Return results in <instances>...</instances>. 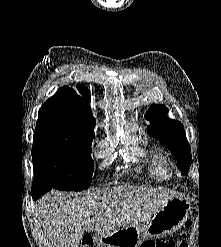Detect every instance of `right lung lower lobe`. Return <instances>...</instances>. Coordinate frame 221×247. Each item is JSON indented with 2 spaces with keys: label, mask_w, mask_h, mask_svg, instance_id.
I'll return each instance as SVG.
<instances>
[{
  "label": "right lung lower lobe",
  "mask_w": 221,
  "mask_h": 247,
  "mask_svg": "<svg viewBox=\"0 0 221 247\" xmlns=\"http://www.w3.org/2000/svg\"><path fill=\"white\" fill-rule=\"evenodd\" d=\"M52 188L42 182L33 180L32 183V198L36 201L40 196L50 191Z\"/></svg>",
  "instance_id": "right-lung-lower-lobe-1"
}]
</instances>
